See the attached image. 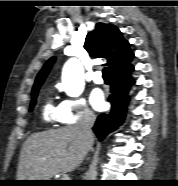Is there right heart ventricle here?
Returning <instances> with one entry per match:
<instances>
[{"mask_svg": "<svg viewBox=\"0 0 178 186\" xmlns=\"http://www.w3.org/2000/svg\"><path fill=\"white\" fill-rule=\"evenodd\" d=\"M42 119L49 125H57L62 123L60 118V108L56 107L51 101H48L42 108Z\"/></svg>", "mask_w": 178, "mask_h": 186, "instance_id": "right-heart-ventricle-1", "label": "right heart ventricle"}]
</instances>
